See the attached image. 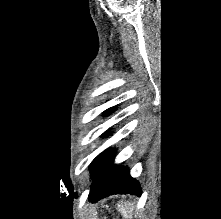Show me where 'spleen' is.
I'll return each instance as SVG.
<instances>
[{
  "mask_svg": "<svg viewBox=\"0 0 221 219\" xmlns=\"http://www.w3.org/2000/svg\"><path fill=\"white\" fill-rule=\"evenodd\" d=\"M118 210L125 219H133L138 216V212L134 213V205L130 202H121L118 204Z\"/></svg>",
  "mask_w": 221,
  "mask_h": 219,
  "instance_id": "spleen-1",
  "label": "spleen"
}]
</instances>
